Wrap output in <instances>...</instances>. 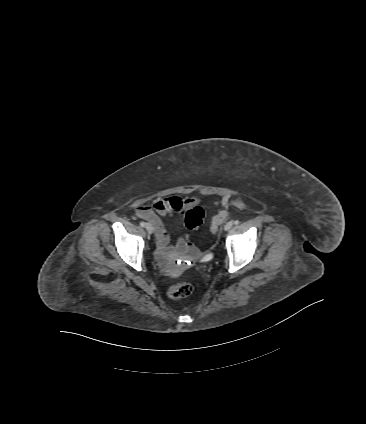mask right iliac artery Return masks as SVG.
Listing matches in <instances>:
<instances>
[{
	"label": "right iliac artery",
	"instance_id": "1",
	"mask_svg": "<svg viewBox=\"0 0 366 424\" xmlns=\"http://www.w3.org/2000/svg\"><path fill=\"white\" fill-rule=\"evenodd\" d=\"M140 225H141L142 227H144L146 224H145V222H141V223H140Z\"/></svg>",
	"mask_w": 366,
	"mask_h": 424
}]
</instances>
